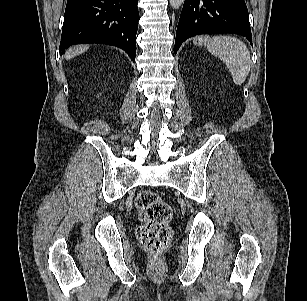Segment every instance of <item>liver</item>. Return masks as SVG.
<instances>
[{"instance_id":"liver-1","label":"liver","mask_w":307,"mask_h":301,"mask_svg":"<svg viewBox=\"0 0 307 301\" xmlns=\"http://www.w3.org/2000/svg\"><path fill=\"white\" fill-rule=\"evenodd\" d=\"M87 49H88V47H86V46H79V47L71 48V49L66 53L65 58H66V59L73 58V57H75L76 55H79V54L85 52Z\"/></svg>"}]
</instances>
